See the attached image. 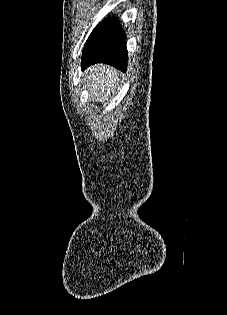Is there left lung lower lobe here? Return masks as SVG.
Wrapping results in <instances>:
<instances>
[{"label":"left lung lower lobe","mask_w":227,"mask_h":315,"mask_svg":"<svg viewBox=\"0 0 227 315\" xmlns=\"http://www.w3.org/2000/svg\"><path fill=\"white\" fill-rule=\"evenodd\" d=\"M95 63H106L123 72L127 70L126 35L113 18L98 24L85 43L81 69Z\"/></svg>","instance_id":"left-lung-lower-lobe-1"}]
</instances>
